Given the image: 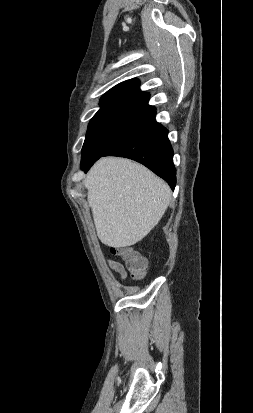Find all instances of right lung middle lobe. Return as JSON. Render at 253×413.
<instances>
[{"instance_id":"right-lung-middle-lobe-1","label":"right lung middle lobe","mask_w":253,"mask_h":413,"mask_svg":"<svg viewBox=\"0 0 253 413\" xmlns=\"http://www.w3.org/2000/svg\"><path fill=\"white\" fill-rule=\"evenodd\" d=\"M150 118L109 114L91 119L82 147L81 165L100 158L117 143L143 126Z\"/></svg>"}]
</instances>
